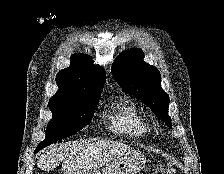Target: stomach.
I'll return each instance as SVG.
<instances>
[{
    "mask_svg": "<svg viewBox=\"0 0 224 174\" xmlns=\"http://www.w3.org/2000/svg\"><path fill=\"white\" fill-rule=\"evenodd\" d=\"M144 155L138 151H131L111 163L102 170L93 169L85 174H136L145 164Z\"/></svg>",
    "mask_w": 224,
    "mask_h": 174,
    "instance_id": "obj_1",
    "label": "stomach"
}]
</instances>
